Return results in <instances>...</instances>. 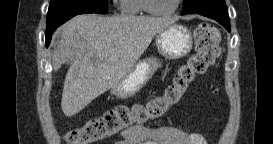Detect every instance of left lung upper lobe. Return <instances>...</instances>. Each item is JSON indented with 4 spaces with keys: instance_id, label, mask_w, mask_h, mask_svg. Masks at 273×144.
Masks as SVG:
<instances>
[{
    "instance_id": "5c2ea615",
    "label": "left lung upper lobe",
    "mask_w": 273,
    "mask_h": 144,
    "mask_svg": "<svg viewBox=\"0 0 273 144\" xmlns=\"http://www.w3.org/2000/svg\"><path fill=\"white\" fill-rule=\"evenodd\" d=\"M218 1H222V0H184L183 14L194 13V11L199 9L200 6H207V5H219L220 6Z\"/></svg>"
}]
</instances>
